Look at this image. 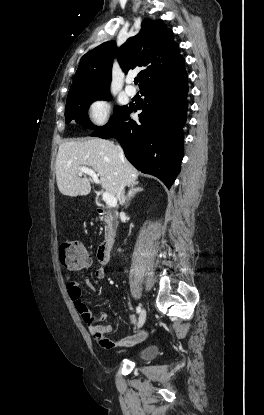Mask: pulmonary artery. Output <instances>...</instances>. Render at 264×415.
Wrapping results in <instances>:
<instances>
[{"instance_id":"1","label":"pulmonary artery","mask_w":264,"mask_h":415,"mask_svg":"<svg viewBox=\"0 0 264 415\" xmlns=\"http://www.w3.org/2000/svg\"><path fill=\"white\" fill-rule=\"evenodd\" d=\"M126 82H127V85L125 88L126 93L129 96H134L136 94V89L132 86L133 79L129 77Z\"/></svg>"}]
</instances>
